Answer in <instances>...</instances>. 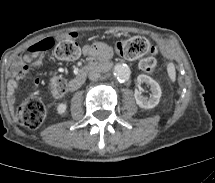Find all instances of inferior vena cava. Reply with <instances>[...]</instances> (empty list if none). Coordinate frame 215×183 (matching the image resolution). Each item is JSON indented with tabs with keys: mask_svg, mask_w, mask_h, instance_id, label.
<instances>
[{
	"mask_svg": "<svg viewBox=\"0 0 215 183\" xmlns=\"http://www.w3.org/2000/svg\"><path fill=\"white\" fill-rule=\"evenodd\" d=\"M88 77L90 80L95 81V80H98L100 78V73L96 70H91L88 73Z\"/></svg>",
	"mask_w": 215,
	"mask_h": 183,
	"instance_id": "obj_1",
	"label": "inferior vena cava"
}]
</instances>
